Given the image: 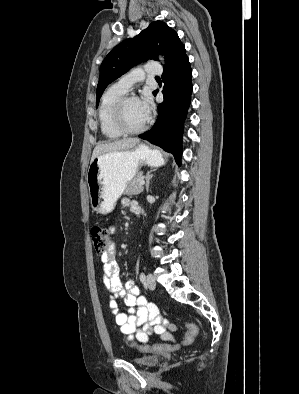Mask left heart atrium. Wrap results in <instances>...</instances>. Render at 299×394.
<instances>
[{
    "instance_id": "left-heart-atrium-1",
    "label": "left heart atrium",
    "mask_w": 299,
    "mask_h": 394,
    "mask_svg": "<svg viewBox=\"0 0 299 394\" xmlns=\"http://www.w3.org/2000/svg\"><path fill=\"white\" fill-rule=\"evenodd\" d=\"M137 100L142 112L146 117H148L153 109V103L151 97L148 94H146L141 98H138Z\"/></svg>"
}]
</instances>
